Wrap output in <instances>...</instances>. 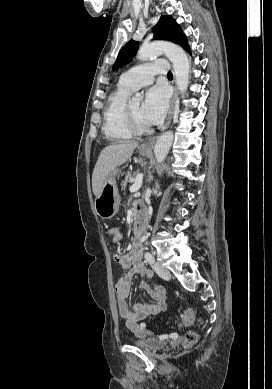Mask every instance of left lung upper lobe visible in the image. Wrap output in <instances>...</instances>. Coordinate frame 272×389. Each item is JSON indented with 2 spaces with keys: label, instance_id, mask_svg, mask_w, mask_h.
Segmentation results:
<instances>
[{
  "label": "left lung upper lobe",
  "instance_id": "left-lung-upper-lobe-1",
  "mask_svg": "<svg viewBox=\"0 0 272 389\" xmlns=\"http://www.w3.org/2000/svg\"><path fill=\"white\" fill-rule=\"evenodd\" d=\"M154 39L167 40L176 43L189 51V46L180 26L171 16L162 15L154 28ZM139 43L131 40L120 50L113 69H118L132 60L137 52Z\"/></svg>",
  "mask_w": 272,
  "mask_h": 389
}]
</instances>
